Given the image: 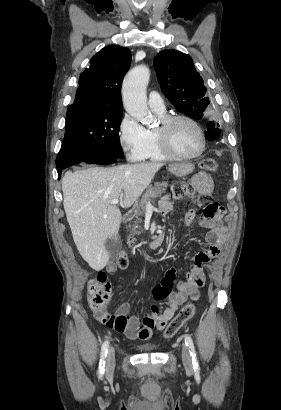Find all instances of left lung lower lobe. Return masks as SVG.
I'll return each mask as SVG.
<instances>
[{
  "instance_id": "left-lung-lower-lobe-1",
  "label": "left lung lower lobe",
  "mask_w": 281,
  "mask_h": 410,
  "mask_svg": "<svg viewBox=\"0 0 281 410\" xmlns=\"http://www.w3.org/2000/svg\"><path fill=\"white\" fill-rule=\"evenodd\" d=\"M215 125L213 122H208L207 131H205L206 138L208 140H213L216 137L211 136V133L215 130Z\"/></svg>"
}]
</instances>
